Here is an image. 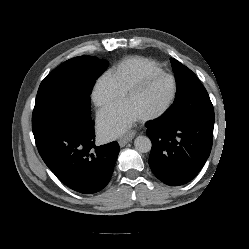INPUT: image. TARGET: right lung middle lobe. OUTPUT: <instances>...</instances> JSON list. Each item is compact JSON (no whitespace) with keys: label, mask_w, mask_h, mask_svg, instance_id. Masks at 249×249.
Returning a JSON list of instances; mask_svg holds the SVG:
<instances>
[{"label":"right lung middle lobe","mask_w":249,"mask_h":249,"mask_svg":"<svg viewBox=\"0 0 249 249\" xmlns=\"http://www.w3.org/2000/svg\"><path fill=\"white\" fill-rule=\"evenodd\" d=\"M108 62L97 57L78 56L59 65L41 82L32 114V128L46 118L71 109L90 115V94Z\"/></svg>","instance_id":"1"}]
</instances>
